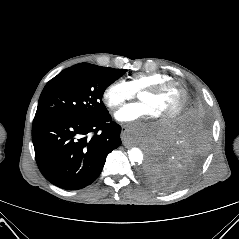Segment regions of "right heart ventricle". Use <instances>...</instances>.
Here are the masks:
<instances>
[{
  "label": "right heart ventricle",
  "instance_id": "right-heart-ventricle-1",
  "mask_svg": "<svg viewBox=\"0 0 239 239\" xmlns=\"http://www.w3.org/2000/svg\"><path fill=\"white\" fill-rule=\"evenodd\" d=\"M168 80H171V77L169 75L159 72H153L135 74L131 76L126 82L134 93H139L147 87Z\"/></svg>",
  "mask_w": 239,
  "mask_h": 239
}]
</instances>
